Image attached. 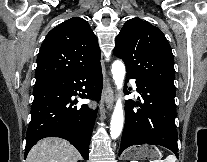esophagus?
Instances as JSON below:
<instances>
[{
  "instance_id": "1",
  "label": "esophagus",
  "mask_w": 207,
  "mask_h": 162,
  "mask_svg": "<svg viewBox=\"0 0 207 162\" xmlns=\"http://www.w3.org/2000/svg\"><path fill=\"white\" fill-rule=\"evenodd\" d=\"M115 98H114V91L111 87V84L107 80L104 93L101 99V106H105L108 110H112L114 106Z\"/></svg>"
}]
</instances>
